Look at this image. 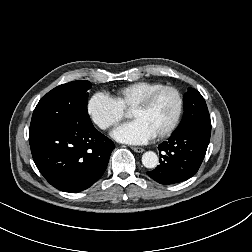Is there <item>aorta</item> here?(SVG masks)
<instances>
[{"label": "aorta", "mask_w": 252, "mask_h": 252, "mask_svg": "<svg viewBox=\"0 0 252 252\" xmlns=\"http://www.w3.org/2000/svg\"><path fill=\"white\" fill-rule=\"evenodd\" d=\"M159 163L158 156L153 151H147L142 156V164L146 168H155Z\"/></svg>", "instance_id": "762f6f07"}]
</instances>
